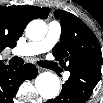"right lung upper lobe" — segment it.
<instances>
[{
    "mask_svg": "<svg viewBox=\"0 0 103 103\" xmlns=\"http://www.w3.org/2000/svg\"><path fill=\"white\" fill-rule=\"evenodd\" d=\"M49 8L36 6H0V52L6 48L16 46L26 25L35 18H47ZM3 64L0 62V67Z\"/></svg>",
    "mask_w": 103,
    "mask_h": 103,
    "instance_id": "right-lung-upper-lobe-1",
    "label": "right lung upper lobe"
}]
</instances>
